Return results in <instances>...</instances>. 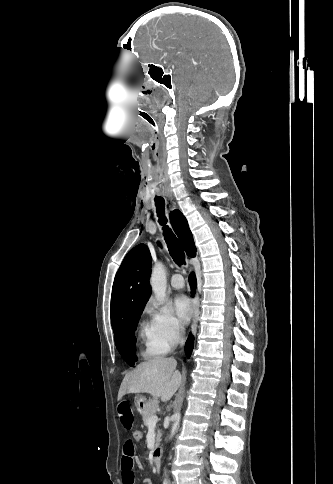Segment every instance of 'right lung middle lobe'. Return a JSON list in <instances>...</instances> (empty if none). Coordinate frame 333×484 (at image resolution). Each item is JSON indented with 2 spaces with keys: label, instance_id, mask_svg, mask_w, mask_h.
Segmentation results:
<instances>
[{
  "label": "right lung middle lobe",
  "instance_id": "right-lung-middle-lobe-1",
  "mask_svg": "<svg viewBox=\"0 0 333 484\" xmlns=\"http://www.w3.org/2000/svg\"><path fill=\"white\" fill-rule=\"evenodd\" d=\"M141 313L142 311H137L130 314L114 334L117 349L130 366L137 361L134 332Z\"/></svg>",
  "mask_w": 333,
  "mask_h": 484
}]
</instances>
